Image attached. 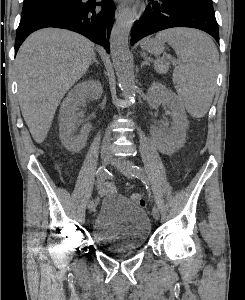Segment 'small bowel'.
<instances>
[{"instance_id":"c3829d8e","label":"small bowel","mask_w":245,"mask_h":300,"mask_svg":"<svg viewBox=\"0 0 245 300\" xmlns=\"http://www.w3.org/2000/svg\"><path fill=\"white\" fill-rule=\"evenodd\" d=\"M115 187L113 185V183L111 182H103V183H98L97 184V190L100 193H107V192H112L114 191Z\"/></svg>"}]
</instances>
